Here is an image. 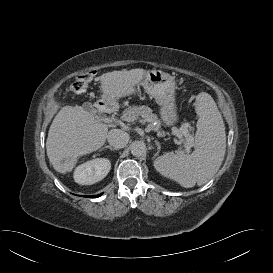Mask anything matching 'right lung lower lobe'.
<instances>
[{
  "label": "right lung lower lobe",
  "mask_w": 273,
  "mask_h": 273,
  "mask_svg": "<svg viewBox=\"0 0 273 273\" xmlns=\"http://www.w3.org/2000/svg\"><path fill=\"white\" fill-rule=\"evenodd\" d=\"M102 194H99V195H97V196H91L92 198H96V197H99V196H101Z\"/></svg>",
  "instance_id": "obj_1"
}]
</instances>
